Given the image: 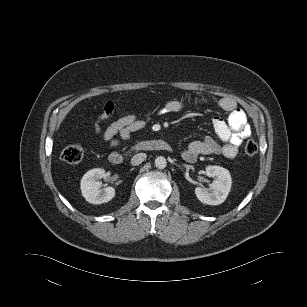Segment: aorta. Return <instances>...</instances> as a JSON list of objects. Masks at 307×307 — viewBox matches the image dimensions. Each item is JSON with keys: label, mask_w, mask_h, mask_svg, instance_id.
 Returning <instances> with one entry per match:
<instances>
[{"label": "aorta", "mask_w": 307, "mask_h": 307, "mask_svg": "<svg viewBox=\"0 0 307 307\" xmlns=\"http://www.w3.org/2000/svg\"><path fill=\"white\" fill-rule=\"evenodd\" d=\"M155 166L156 168L158 169H164L167 165V160L165 157L163 156H158L156 159H155Z\"/></svg>", "instance_id": "obj_1"}]
</instances>
